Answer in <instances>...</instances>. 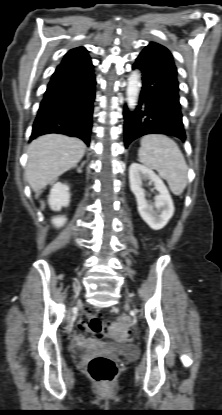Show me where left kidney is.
Segmentation results:
<instances>
[{
	"label": "left kidney",
	"instance_id": "1",
	"mask_svg": "<svg viewBox=\"0 0 222 415\" xmlns=\"http://www.w3.org/2000/svg\"><path fill=\"white\" fill-rule=\"evenodd\" d=\"M129 179L131 191L137 200L140 216L152 229H162L174 213L173 201L164 182L151 169L139 163L130 165ZM146 180L152 183L154 189L158 191L153 203L145 198L143 181Z\"/></svg>",
	"mask_w": 222,
	"mask_h": 415
}]
</instances>
